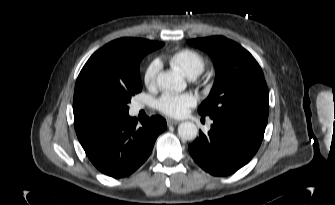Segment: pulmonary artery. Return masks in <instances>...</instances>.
<instances>
[{
	"label": "pulmonary artery",
	"instance_id": "1",
	"mask_svg": "<svg viewBox=\"0 0 335 205\" xmlns=\"http://www.w3.org/2000/svg\"><path fill=\"white\" fill-rule=\"evenodd\" d=\"M191 78H195V77H191ZM137 108H140V106H138Z\"/></svg>",
	"mask_w": 335,
	"mask_h": 205
}]
</instances>
